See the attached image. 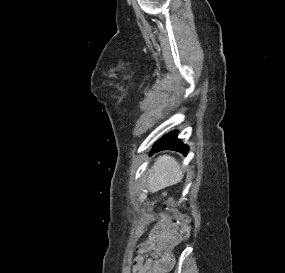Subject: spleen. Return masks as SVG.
Segmentation results:
<instances>
[{"label":"spleen","instance_id":"spleen-1","mask_svg":"<svg viewBox=\"0 0 285 273\" xmlns=\"http://www.w3.org/2000/svg\"><path fill=\"white\" fill-rule=\"evenodd\" d=\"M183 176V171L175 158L168 155L160 156L150 171L148 188L151 192L158 191L180 182Z\"/></svg>","mask_w":285,"mask_h":273}]
</instances>
